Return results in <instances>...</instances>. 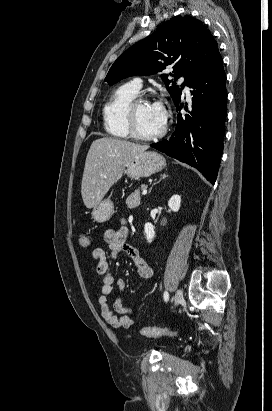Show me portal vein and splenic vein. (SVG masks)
Listing matches in <instances>:
<instances>
[{"label": "portal vein and splenic vein", "mask_w": 272, "mask_h": 411, "mask_svg": "<svg viewBox=\"0 0 272 411\" xmlns=\"http://www.w3.org/2000/svg\"><path fill=\"white\" fill-rule=\"evenodd\" d=\"M142 194H143V195H146V194H147V190L144 189L143 192H142Z\"/></svg>", "instance_id": "1"}]
</instances>
